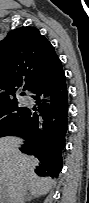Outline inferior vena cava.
I'll return each instance as SVG.
<instances>
[{"label":"inferior vena cava","mask_w":89,"mask_h":203,"mask_svg":"<svg viewBox=\"0 0 89 203\" xmlns=\"http://www.w3.org/2000/svg\"><path fill=\"white\" fill-rule=\"evenodd\" d=\"M18 203H24V197H23V196H21V197L19 198Z\"/></svg>","instance_id":"obj_1"}]
</instances>
